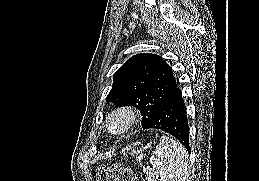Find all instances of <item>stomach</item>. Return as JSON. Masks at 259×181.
<instances>
[{
    "mask_svg": "<svg viewBox=\"0 0 259 181\" xmlns=\"http://www.w3.org/2000/svg\"><path fill=\"white\" fill-rule=\"evenodd\" d=\"M139 152V151H138ZM136 153V150H133L131 154H135Z\"/></svg>",
    "mask_w": 259,
    "mask_h": 181,
    "instance_id": "obj_1",
    "label": "stomach"
}]
</instances>
